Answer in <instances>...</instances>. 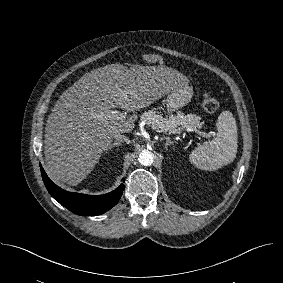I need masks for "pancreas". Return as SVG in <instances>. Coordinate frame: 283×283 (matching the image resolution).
<instances>
[{
  "mask_svg": "<svg viewBox=\"0 0 283 283\" xmlns=\"http://www.w3.org/2000/svg\"><path fill=\"white\" fill-rule=\"evenodd\" d=\"M141 120L153 129L165 133L183 129L196 131L197 128L201 127L200 117L195 114L184 115L183 113H179L177 115L163 117L160 112L149 110L143 113Z\"/></svg>",
  "mask_w": 283,
  "mask_h": 283,
  "instance_id": "obj_1",
  "label": "pancreas"
}]
</instances>
